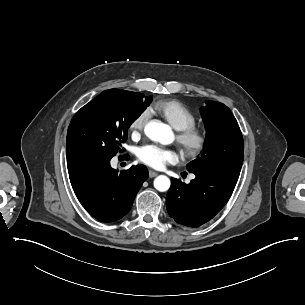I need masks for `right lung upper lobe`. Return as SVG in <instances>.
<instances>
[{
	"instance_id": "1",
	"label": "right lung upper lobe",
	"mask_w": 305,
	"mask_h": 305,
	"mask_svg": "<svg viewBox=\"0 0 305 305\" xmlns=\"http://www.w3.org/2000/svg\"><path fill=\"white\" fill-rule=\"evenodd\" d=\"M110 92H116V93H122V92H126L125 90H120V89H110Z\"/></svg>"
}]
</instances>
